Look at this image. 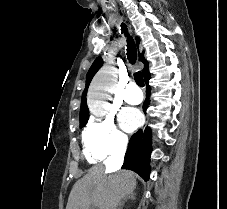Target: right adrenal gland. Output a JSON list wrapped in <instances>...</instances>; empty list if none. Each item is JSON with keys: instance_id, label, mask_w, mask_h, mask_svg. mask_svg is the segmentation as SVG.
<instances>
[{"instance_id": "obj_1", "label": "right adrenal gland", "mask_w": 227, "mask_h": 209, "mask_svg": "<svg viewBox=\"0 0 227 209\" xmlns=\"http://www.w3.org/2000/svg\"><path fill=\"white\" fill-rule=\"evenodd\" d=\"M126 199H130V201H133V199H135V197H133V195H130V197H125V199H122V201H120V203L118 205V209H122V205H124V201H126Z\"/></svg>"}]
</instances>
